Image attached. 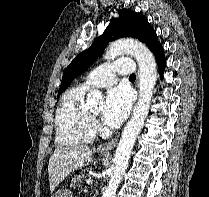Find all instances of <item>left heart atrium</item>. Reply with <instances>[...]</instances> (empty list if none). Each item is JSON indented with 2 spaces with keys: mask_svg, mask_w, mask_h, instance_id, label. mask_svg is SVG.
Wrapping results in <instances>:
<instances>
[{
  "mask_svg": "<svg viewBox=\"0 0 209 197\" xmlns=\"http://www.w3.org/2000/svg\"><path fill=\"white\" fill-rule=\"evenodd\" d=\"M133 103L131 91L125 86L111 88L105 99L103 118L108 125L117 126L128 116Z\"/></svg>",
  "mask_w": 209,
  "mask_h": 197,
  "instance_id": "obj_1",
  "label": "left heart atrium"
}]
</instances>
